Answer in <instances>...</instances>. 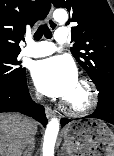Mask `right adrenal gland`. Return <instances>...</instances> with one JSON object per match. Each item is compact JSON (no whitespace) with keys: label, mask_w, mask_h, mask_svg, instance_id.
<instances>
[{"label":"right adrenal gland","mask_w":114,"mask_h":156,"mask_svg":"<svg viewBox=\"0 0 114 156\" xmlns=\"http://www.w3.org/2000/svg\"><path fill=\"white\" fill-rule=\"evenodd\" d=\"M34 141L32 142V148H34ZM23 156H26V152H24Z\"/></svg>","instance_id":"right-adrenal-gland-1"}]
</instances>
